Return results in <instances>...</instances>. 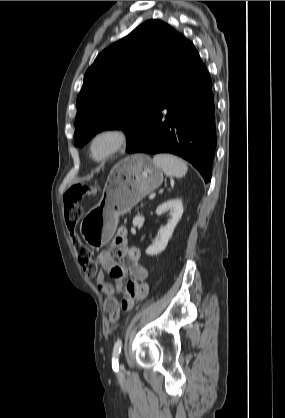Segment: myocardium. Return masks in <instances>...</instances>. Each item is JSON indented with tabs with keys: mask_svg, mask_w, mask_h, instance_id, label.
<instances>
[{
	"mask_svg": "<svg viewBox=\"0 0 285 418\" xmlns=\"http://www.w3.org/2000/svg\"><path fill=\"white\" fill-rule=\"evenodd\" d=\"M102 140H109L110 144L101 154L95 152V146ZM128 143L127 133L119 127H105L91 135L87 143L89 158L95 163H104L115 155L124 151Z\"/></svg>",
	"mask_w": 285,
	"mask_h": 418,
	"instance_id": "1",
	"label": "myocardium"
}]
</instances>
